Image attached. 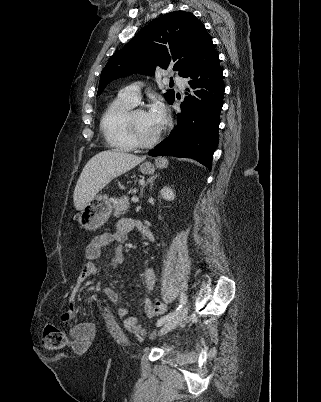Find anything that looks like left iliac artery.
<instances>
[{
  "instance_id": "left-iliac-artery-1",
  "label": "left iliac artery",
  "mask_w": 321,
  "mask_h": 402,
  "mask_svg": "<svg viewBox=\"0 0 321 402\" xmlns=\"http://www.w3.org/2000/svg\"><path fill=\"white\" fill-rule=\"evenodd\" d=\"M186 302H187V296L185 293L182 292L180 295V304L177 307V309L174 312L160 318L157 322V326L159 327L162 324H164L165 322H167L170 319H172L173 317H175L178 314V312L183 308V306L186 304Z\"/></svg>"
}]
</instances>
